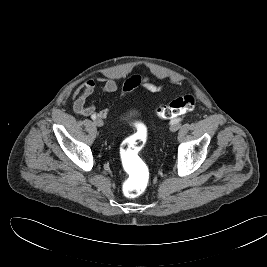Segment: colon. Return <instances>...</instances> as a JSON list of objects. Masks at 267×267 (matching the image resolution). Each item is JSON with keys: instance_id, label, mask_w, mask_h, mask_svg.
<instances>
[{"instance_id": "colon-1", "label": "colon", "mask_w": 267, "mask_h": 267, "mask_svg": "<svg viewBox=\"0 0 267 267\" xmlns=\"http://www.w3.org/2000/svg\"><path fill=\"white\" fill-rule=\"evenodd\" d=\"M196 106L193 95L187 94L176 98L166 106L158 107L155 112L163 119H172L176 116L192 111ZM146 131L143 128L126 138L120 147V156L127 172V179L123 186L127 197H137L146 189L149 182V172L140 157V151L146 143Z\"/></svg>"}]
</instances>
